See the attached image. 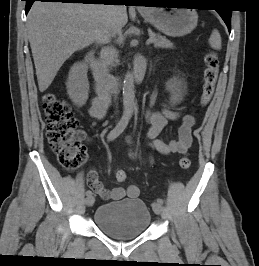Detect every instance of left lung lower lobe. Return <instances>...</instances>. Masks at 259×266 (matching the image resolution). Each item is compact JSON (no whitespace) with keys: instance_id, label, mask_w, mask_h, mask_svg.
<instances>
[{"instance_id":"obj_1","label":"left lung lower lobe","mask_w":259,"mask_h":266,"mask_svg":"<svg viewBox=\"0 0 259 266\" xmlns=\"http://www.w3.org/2000/svg\"><path fill=\"white\" fill-rule=\"evenodd\" d=\"M179 1L180 3H191V0H154L153 3H165L170 5V3L172 2H176ZM217 11L219 12L221 18L224 20V22L226 23L229 32L231 31V15H232V11L229 9H217Z\"/></svg>"}]
</instances>
